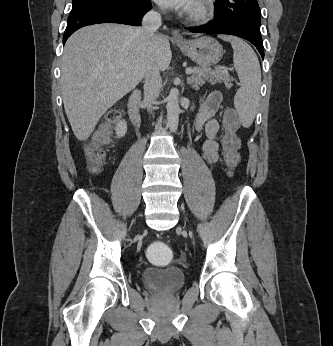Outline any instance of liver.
<instances>
[{"instance_id": "liver-1", "label": "liver", "mask_w": 333, "mask_h": 346, "mask_svg": "<svg viewBox=\"0 0 333 346\" xmlns=\"http://www.w3.org/2000/svg\"><path fill=\"white\" fill-rule=\"evenodd\" d=\"M155 41L151 50L140 28L118 24L87 26L67 40L60 85L78 140H87L104 113L142 81L150 56L160 71L169 67L168 38L157 35Z\"/></svg>"}]
</instances>
